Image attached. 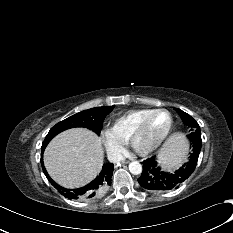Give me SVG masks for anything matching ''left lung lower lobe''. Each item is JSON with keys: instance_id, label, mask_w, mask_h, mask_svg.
I'll use <instances>...</instances> for the list:
<instances>
[{"instance_id": "1", "label": "left lung lower lobe", "mask_w": 233, "mask_h": 233, "mask_svg": "<svg viewBox=\"0 0 233 233\" xmlns=\"http://www.w3.org/2000/svg\"><path fill=\"white\" fill-rule=\"evenodd\" d=\"M202 143H194L190 159L175 172H164L156 157L143 161V171L138 179L141 187L150 191H167L179 187L195 170Z\"/></svg>"}]
</instances>
